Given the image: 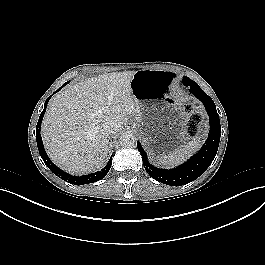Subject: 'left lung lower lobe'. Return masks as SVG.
<instances>
[{"label":"left lung lower lobe","instance_id":"0a47b994","mask_svg":"<svg viewBox=\"0 0 265 265\" xmlns=\"http://www.w3.org/2000/svg\"><path fill=\"white\" fill-rule=\"evenodd\" d=\"M189 91L204 104L210 122V133L201 150L184 164L174 169H160L152 166L140 143L137 148L142 155L143 165L146 172L155 180L170 186H181L194 181L202 175L212 163L220 141V120L213 100L199 87V85L188 77L182 80Z\"/></svg>","mask_w":265,"mask_h":265}]
</instances>
